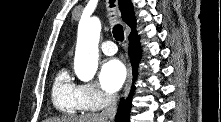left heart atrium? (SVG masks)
Returning a JSON list of instances; mask_svg holds the SVG:
<instances>
[{"instance_id": "left-heart-atrium-1", "label": "left heart atrium", "mask_w": 221, "mask_h": 122, "mask_svg": "<svg viewBox=\"0 0 221 122\" xmlns=\"http://www.w3.org/2000/svg\"><path fill=\"white\" fill-rule=\"evenodd\" d=\"M126 75V68L120 60L109 59L101 66L99 73L100 85L105 91L114 93L121 88Z\"/></svg>"}]
</instances>
